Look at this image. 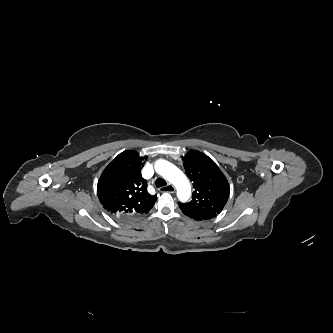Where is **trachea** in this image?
<instances>
[{
  "mask_svg": "<svg viewBox=\"0 0 333 333\" xmlns=\"http://www.w3.org/2000/svg\"><path fill=\"white\" fill-rule=\"evenodd\" d=\"M167 183L163 178H157L155 181V185L157 188L165 186Z\"/></svg>",
  "mask_w": 333,
  "mask_h": 333,
  "instance_id": "obj_1",
  "label": "trachea"
}]
</instances>
